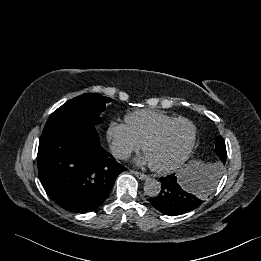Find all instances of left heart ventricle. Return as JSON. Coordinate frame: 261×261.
I'll return each mask as SVG.
<instances>
[{"label": "left heart ventricle", "mask_w": 261, "mask_h": 261, "mask_svg": "<svg viewBox=\"0 0 261 261\" xmlns=\"http://www.w3.org/2000/svg\"><path fill=\"white\" fill-rule=\"evenodd\" d=\"M191 136V126L185 122L169 127L156 142L148 146L146 156L150 164L163 167L176 162L186 151Z\"/></svg>", "instance_id": "left-heart-ventricle-1"}]
</instances>
